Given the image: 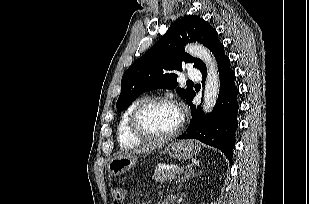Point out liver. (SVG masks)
<instances>
[{
    "mask_svg": "<svg viewBox=\"0 0 309 204\" xmlns=\"http://www.w3.org/2000/svg\"><path fill=\"white\" fill-rule=\"evenodd\" d=\"M166 143H167V141H165V140L160 141V142H155V143L149 144L147 146H144L140 149H134V150L128 152L127 154H141V153L152 152L155 149L161 148Z\"/></svg>",
    "mask_w": 309,
    "mask_h": 204,
    "instance_id": "liver-1",
    "label": "liver"
}]
</instances>
